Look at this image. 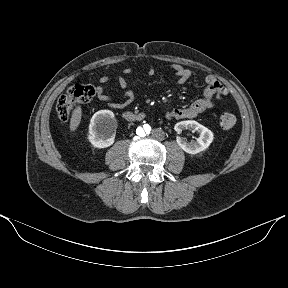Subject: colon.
<instances>
[{"label":"colon","mask_w":288,"mask_h":288,"mask_svg":"<svg viewBox=\"0 0 288 288\" xmlns=\"http://www.w3.org/2000/svg\"><path fill=\"white\" fill-rule=\"evenodd\" d=\"M95 94L96 89L89 84L77 83L70 87L57 101L56 111L59 119L64 122L67 121L76 104L89 102ZM235 122V116L231 113H223L220 117V125L226 130L231 129Z\"/></svg>","instance_id":"1"}]
</instances>
